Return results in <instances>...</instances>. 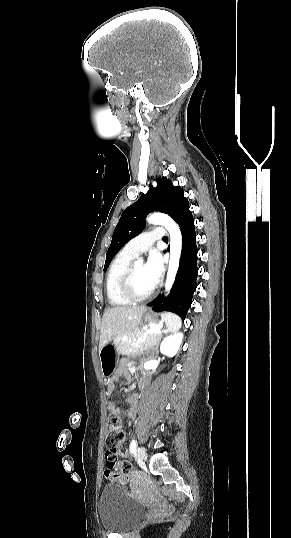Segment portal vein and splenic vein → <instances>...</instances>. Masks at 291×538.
I'll return each mask as SVG.
<instances>
[{"label":"portal vein and splenic vein","mask_w":291,"mask_h":538,"mask_svg":"<svg viewBox=\"0 0 291 538\" xmlns=\"http://www.w3.org/2000/svg\"><path fill=\"white\" fill-rule=\"evenodd\" d=\"M160 329L158 326H151V328L144 334V337L141 338V337H138L135 342H132L131 345L133 346H136V345H140L142 344L143 342H145L147 340V336L151 333H157L159 332Z\"/></svg>","instance_id":"obj_1"}]
</instances>
